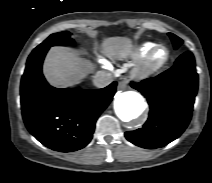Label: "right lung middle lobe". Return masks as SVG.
<instances>
[{
	"instance_id": "dd1d6c3e",
	"label": "right lung middle lobe",
	"mask_w": 212,
	"mask_h": 183,
	"mask_svg": "<svg viewBox=\"0 0 212 183\" xmlns=\"http://www.w3.org/2000/svg\"><path fill=\"white\" fill-rule=\"evenodd\" d=\"M72 44H74V41L70 38V33L64 31L50 35L43 43H41L36 48H50L51 46H68Z\"/></svg>"
}]
</instances>
